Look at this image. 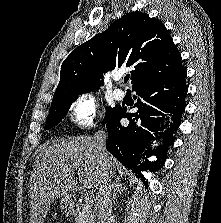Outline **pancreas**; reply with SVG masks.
I'll return each instance as SVG.
<instances>
[{"mask_svg":"<svg viewBox=\"0 0 221 223\" xmlns=\"http://www.w3.org/2000/svg\"><path fill=\"white\" fill-rule=\"evenodd\" d=\"M75 223H96V216L90 203L84 204L82 210L75 215Z\"/></svg>","mask_w":221,"mask_h":223,"instance_id":"1","label":"pancreas"}]
</instances>
